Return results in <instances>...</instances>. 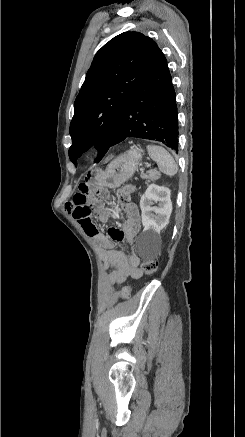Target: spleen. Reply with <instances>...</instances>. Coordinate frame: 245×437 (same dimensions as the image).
I'll return each instance as SVG.
<instances>
[{
	"instance_id": "obj_1",
	"label": "spleen",
	"mask_w": 245,
	"mask_h": 437,
	"mask_svg": "<svg viewBox=\"0 0 245 437\" xmlns=\"http://www.w3.org/2000/svg\"><path fill=\"white\" fill-rule=\"evenodd\" d=\"M146 149L149 156L157 163L161 172L168 176H173L177 173L178 165L165 148L154 144H148Z\"/></svg>"
}]
</instances>
